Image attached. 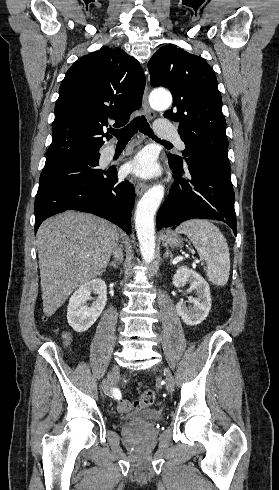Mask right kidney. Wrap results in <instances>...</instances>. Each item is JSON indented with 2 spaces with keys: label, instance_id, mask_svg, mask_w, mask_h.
I'll return each mask as SVG.
<instances>
[{
  "label": "right kidney",
  "instance_id": "right-kidney-1",
  "mask_svg": "<svg viewBox=\"0 0 279 490\" xmlns=\"http://www.w3.org/2000/svg\"><path fill=\"white\" fill-rule=\"evenodd\" d=\"M91 292H96L98 298L93 306H88ZM107 302V286L103 280L96 278L82 284L71 296L67 308V322L75 332H86L101 316Z\"/></svg>",
  "mask_w": 279,
  "mask_h": 490
}]
</instances>
